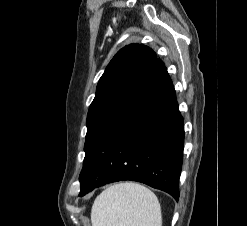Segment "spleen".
<instances>
[{
    "instance_id": "spleen-1",
    "label": "spleen",
    "mask_w": 247,
    "mask_h": 226,
    "mask_svg": "<svg viewBox=\"0 0 247 226\" xmlns=\"http://www.w3.org/2000/svg\"><path fill=\"white\" fill-rule=\"evenodd\" d=\"M92 226H161V207L155 194L138 183L108 187L94 201Z\"/></svg>"
}]
</instances>
